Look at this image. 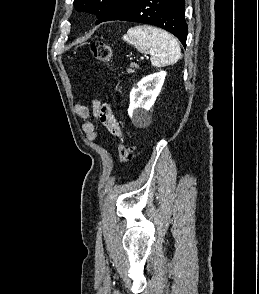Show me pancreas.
<instances>
[{
  "label": "pancreas",
  "mask_w": 259,
  "mask_h": 294,
  "mask_svg": "<svg viewBox=\"0 0 259 294\" xmlns=\"http://www.w3.org/2000/svg\"><path fill=\"white\" fill-rule=\"evenodd\" d=\"M130 67H131V69H128L127 72L128 73H133L134 72V68L135 69H138L139 68V65L137 63H131L130 64Z\"/></svg>",
  "instance_id": "pancreas-1"
}]
</instances>
